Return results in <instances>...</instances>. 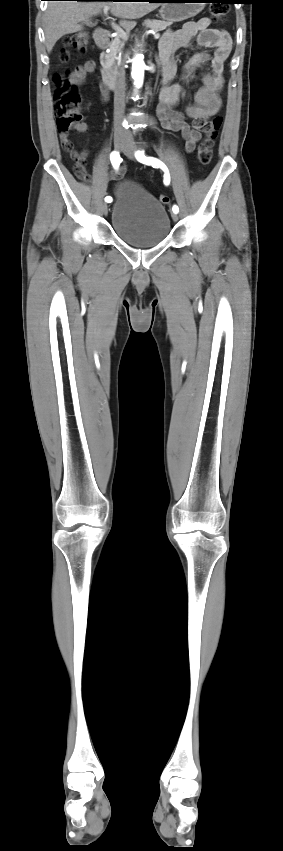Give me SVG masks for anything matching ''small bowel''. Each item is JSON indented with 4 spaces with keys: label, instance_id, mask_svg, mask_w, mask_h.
Here are the masks:
<instances>
[{
    "label": "small bowel",
    "instance_id": "obj_1",
    "mask_svg": "<svg viewBox=\"0 0 283 851\" xmlns=\"http://www.w3.org/2000/svg\"><path fill=\"white\" fill-rule=\"evenodd\" d=\"M209 26V18L189 21L181 29L166 31L159 42V59L163 65V80L159 93L160 102L157 107V114L165 129L180 132L185 141L184 147L187 153H192L195 150L202 136L200 130L210 117L219 112L222 106L219 92L224 84L223 68L230 54L232 41L226 31ZM193 39H196L200 47L212 48L213 54L201 52L194 55L184 67V80H190L195 71L208 61L211 62L212 73L202 76L203 86L195 94L194 104L186 106L184 110H179L178 107L182 98L186 96V92L181 84L171 83L177 71L175 52L181 47H190ZM95 69V62L87 61L83 65L76 66L70 73L68 80L70 84L77 87L84 81L86 75L93 73ZM99 92L102 100L112 97V92L106 83L99 85ZM187 119H190L191 122H188ZM77 130L85 131L86 126L77 128ZM60 139L63 148L75 162L84 165L89 151H76L68 139V134H60Z\"/></svg>",
    "mask_w": 283,
    "mask_h": 851
}]
</instances>
